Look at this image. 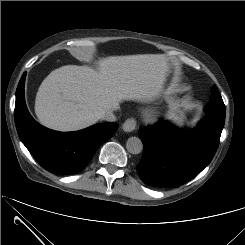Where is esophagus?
Returning a JSON list of instances; mask_svg holds the SVG:
<instances>
[{
    "instance_id": "1",
    "label": "esophagus",
    "mask_w": 245,
    "mask_h": 245,
    "mask_svg": "<svg viewBox=\"0 0 245 245\" xmlns=\"http://www.w3.org/2000/svg\"><path fill=\"white\" fill-rule=\"evenodd\" d=\"M135 128H136V119L135 118L127 119L122 125V129L125 132H132L133 130H135Z\"/></svg>"
}]
</instances>
